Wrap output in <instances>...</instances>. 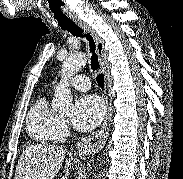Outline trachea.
Segmentation results:
<instances>
[{
    "mask_svg": "<svg viewBox=\"0 0 183 179\" xmlns=\"http://www.w3.org/2000/svg\"><path fill=\"white\" fill-rule=\"evenodd\" d=\"M55 18L57 19L59 26L63 30H67L72 35L77 36V37H85L88 40L89 49H90V52L92 53L91 58H90L91 69L94 71L98 70L99 61H98V56L95 53V42L93 40V37L89 33L84 35L83 30L78 25H76L73 21L68 19L61 11H60V13H55ZM96 80H97L98 85L101 88H103L104 87V75L103 74L97 75Z\"/></svg>",
    "mask_w": 183,
    "mask_h": 179,
    "instance_id": "obj_1",
    "label": "trachea"
}]
</instances>
